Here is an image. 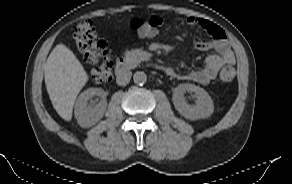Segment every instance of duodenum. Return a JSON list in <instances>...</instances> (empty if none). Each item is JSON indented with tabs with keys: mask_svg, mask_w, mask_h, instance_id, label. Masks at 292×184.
I'll list each match as a JSON object with an SVG mask.
<instances>
[{
	"mask_svg": "<svg viewBox=\"0 0 292 184\" xmlns=\"http://www.w3.org/2000/svg\"><path fill=\"white\" fill-rule=\"evenodd\" d=\"M127 68H128V63L126 62V60L123 58H118L115 69H116L117 76L120 79L125 77Z\"/></svg>",
	"mask_w": 292,
	"mask_h": 184,
	"instance_id": "410a0bca",
	"label": "duodenum"
}]
</instances>
